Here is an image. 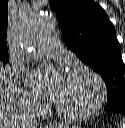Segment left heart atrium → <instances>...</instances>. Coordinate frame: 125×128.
I'll list each match as a JSON object with an SVG mask.
<instances>
[{
    "instance_id": "1",
    "label": "left heart atrium",
    "mask_w": 125,
    "mask_h": 128,
    "mask_svg": "<svg viewBox=\"0 0 125 128\" xmlns=\"http://www.w3.org/2000/svg\"><path fill=\"white\" fill-rule=\"evenodd\" d=\"M66 77L62 69H40L29 75L27 84L37 95L57 101L62 93Z\"/></svg>"
}]
</instances>
